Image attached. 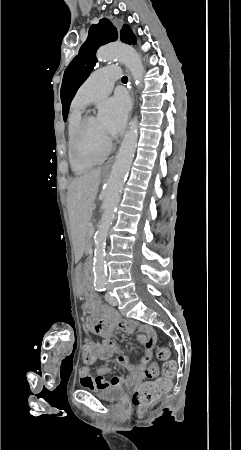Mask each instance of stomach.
<instances>
[{
	"instance_id": "obj_1",
	"label": "stomach",
	"mask_w": 241,
	"mask_h": 450,
	"mask_svg": "<svg viewBox=\"0 0 241 450\" xmlns=\"http://www.w3.org/2000/svg\"><path fill=\"white\" fill-rule=\"evenodd\" d=\"M85 283V274L82 265H78L75 274V285L78 290L82 291Z\"/></svg>"
}]
</instances>
